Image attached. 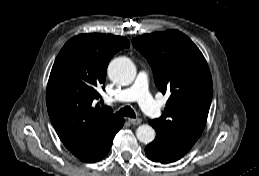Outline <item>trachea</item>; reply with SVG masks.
<instances>
[{"instance_id": "trachea-1", "label": "trachea", "mask_w": 259, "mask_h": 176, "mask_svg": "<svg viewBox=\"0 0 259 176\" xmlns=\"http://www.w3.org/2000/svg\"><path fill=\"white\" fill-rule=\"evenodd\" d=\"M117 113L121 116L135 118V112L133 111V109L130 106L121 108Z\"/></svg>"}]
</instances>
